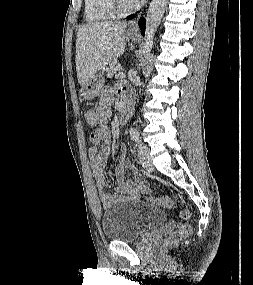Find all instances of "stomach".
I'll return each mask as SVG.
<instances>
[{
	"label": "stomach",
	"instance_id": "obj_1",
	"mask_svg": "<svg viewBox=\"0 0 253 285\" xmlns=\"http://www.w3.org/2000/svg\"><path fill=\"white\" fill-rule=\"evenodd\" d=\"M132 40L137 38V34L129 32ZM104 84V79L100 75H94L84 86H82L79 94L83 100H92L99 95Z\"/></svg>",
	"mask_w": 253,
	"mask_h": 285
}]
</instances>
